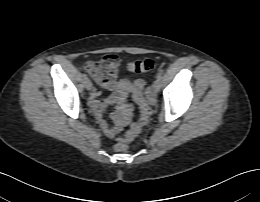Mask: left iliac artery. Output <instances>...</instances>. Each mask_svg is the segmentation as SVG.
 Returning a JSON list of instances; mask_svg holds the SVG:
<instances>
[{
  "instance_id": "44dca946",
  "label": "left iliac artery",
  "mask_w": 260,
  "mask_h": 202,
  "mask_svg": "<svg viewBox=\"0 0 260 202\" xmlns=\"http://www.w3.org/2000/svg\"><path fill=\"white\" fill-rule=\"evenodd\" d=\"M157 79H158V80H161V79H162V74H161V73H158Z\"/></svg>"
}]
</instances>
